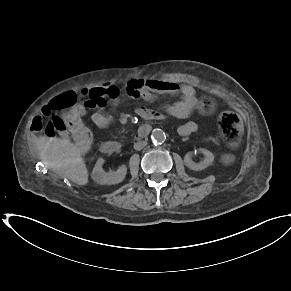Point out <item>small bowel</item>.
Returning a JSON list of instances; mask_svg holds the SVG:
<instances>
[{
  "instance_id": "c3829d8e",
  "label": "small bowel",
  "mask_w": 291,
  "mask_h": 291,
  "mask_svg": "<svg viewBox=\"0 0 291 291\" xmlns=\"http://www.w3.org/2000/svg\"><path fill=\"white\" fill-rule=\"evenodd\" d=\"M182 95L181 100L169 105L167 112L179 119H185L191 115L197 106V97L193 87L187 84H178L174 81L162 79H144L141 77H132L129 79L126 88L122 89L114 83L93 86L84 91V99L81 107L94 109L91 115L92 122L100 127H107L112 118L105 112L108 103L118 104L125 97L141 98L147 102L153 101L158 94H178ZM137 114L144 119L152 121H165L168 115L165 112H158L153 109L139 108ZM35 130H39L34 128ZM197 130V124L194 121H188L179 127L180 135H190ZM67 137V133L62 134Z\"/></svg>"
}]
</instances>
